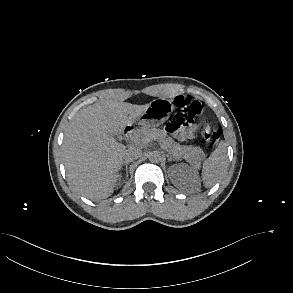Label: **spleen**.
I'll return each instance as SVG.
<instances>
[{
    "mask_svg": "<svg viewBox=\"0 0 293 293\" xmlns=\"http://www.w3.org/2000/svg\"><path fill=\"white\" fill-rule=\"evenodd\" d=\"M227 145L220 142L210 157L205 161L202 169V181L206 188L212 187L226 171Z\"/></svg>",
    "mask_w": 293,
    "mask_h": 293,
    "instance_id": "1",
    "label": "spleen"
}]
</instances>
